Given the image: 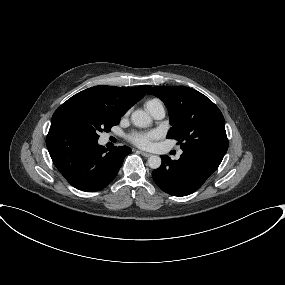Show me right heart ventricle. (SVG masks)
Segmentation results:
<instances>
[{
	"label": "right heart ventricle",
	"mask_w": 285,
	"mask_h": 285,
	"mask_svg": "<svg viewBox=\"0 0 285 285\" xmlns=\"http://www.w3.org/2000/svg\"><path fill=\"white\" fill-rule=\"evenodd\" d=\"M156 103H161L158 99H150L146 102V107H149L153 104H156Z\"/></svg>",
	"instance_id": "obj_1"
}]
</instances>
